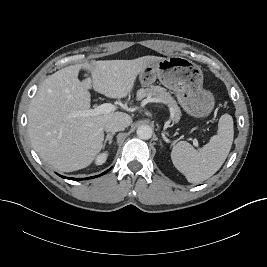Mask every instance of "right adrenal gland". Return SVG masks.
Wrapping results in <instances>:
<instances>
[{
	"label": "right adrenal gland",
	"mask_w": 267,
	"mask_h": 267,
	"mask_svg": "<svg viewBox=\"0 0 267 267\" xmlns=\"http://www.w3.org/2000/svg\"><path fill=\"white\" fill-rule=\"evenodd\" d=\"M114 135H115V132H112V133H110V134H107V136H106V138H105V140H104V142H103V148H105L107 142H109V144L112 143V141H113V136H114Z\"/></svg>",
	"instance_id": "1"
}]
</instances>
